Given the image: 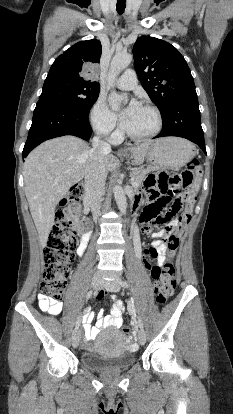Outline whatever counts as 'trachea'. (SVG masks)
Returning <instances> with one entry per match:
<instances>
[{
	"instance_id": "trachea-1",
	"label": "trachea",
	"mask_w": 233,
	"mask_h": 414,
	"mask_svg": "<svg viewBox=\"0 0 233 414\" xmlns=\"http://www.w3.org/2000/svg\"><path fill=\"white\" fill-rule=\"evenodd\" d=\"M125 7H126V3H125V0H118V2H117V4H116V9H117V12L121 15V14H123V12H124V10H125Z\"/></svg>"
}]
</instances>
